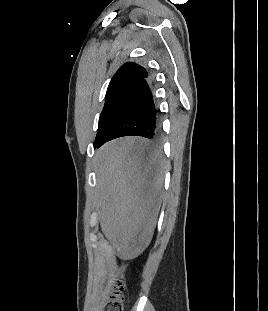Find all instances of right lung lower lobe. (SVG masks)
Segmentation results:
<instances>
[{
	"mask_svg": "<svg viewBox=\"0 0 268 311\" xmlns=\"http://www.w3.org/2000/svg\"><path fill=\"white\" fill-rule=\"evenodd\" d=\"M148 75L143 78L120 111L117 118L105 132L103 138L94 144L99 148L112 139L136 135L155 140L160 135V111L151 91Z\"/></svg>",
	"mask_w": 268,
	"mask_h": 311,
	"instance_id": "right-lung-lower-lobe-1",
	"label": "right lung lower lobe"
}]
</instances>
